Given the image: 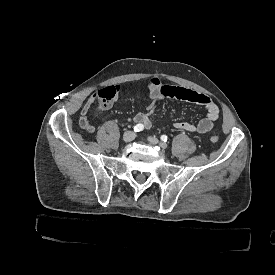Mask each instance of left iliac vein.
<instances>
[{
    "label": "left iliac vein",
    "mask_w": 275,
    "mask_h": 275,
    "mask_svg": "<svg viewBox=\"0 0 275 275\" xmlns=\"http://www.w3.org/2000/svg\"><path fill=\"white\" fill-rule=\"evenodd\" d=\"M148 140L152 145H159L162 149L167 148V144L164 142H159V140L156 137H149Z\"/></svg>",
    "instance_id": "1"
}]
</instances>
